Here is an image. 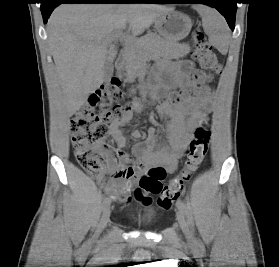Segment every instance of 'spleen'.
I'll return each instance as SVG.
<instances>
[{
    "instance_id": "obj_1",
    "label": "spleen",
    "mask_w": 279,
    "mask_h": 267,
    "mask_svg": "<svg viewBox=\"0 0 279 267\" xmlns=\"http://www.w3.org/2000/svg\"><path fill=\"white\" fill-rule=\"evenodd\" d=\"M193 8L202 17L203 28L210 43L221 53H226L230 34L224 18L218 11L205 5H195Z\"/></svg>"
}]
</instances>
